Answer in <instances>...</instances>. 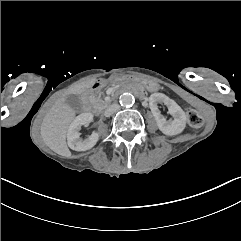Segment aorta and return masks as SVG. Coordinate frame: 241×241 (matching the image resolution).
I'll return each mask as SVG.
<instances>
[{"instance_id": "obj_1", "label": "aorta", "mask_w": 241, "mask_h": 241, "mask_svg": "<svg viewBox=\"0 0 241 241\" xmlns=\"http://www.w3.org/2000/svg\"><path fill=\"white\" fill-rule=\"evenodd\" d=\"M134 96L131 93H123L120 96V104L121 106H132L134 104Z\"/></svg>"}]
</instances>
